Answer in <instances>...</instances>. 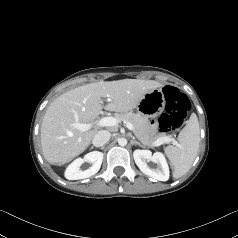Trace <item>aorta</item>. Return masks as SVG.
Masks as SVG:
<instances>
[{
    "mask_svg": "<svg viewBox=\"0 0 238 238\" xmlns=\"http://www.w3.org/2000/svg\"><path fill=\"white\" fill-rule=\"evenodd\" d=\"M118 144H119L120 146H126V145H127V139H125V138H120V139L118 140Z\"/></svg>",
    "mask_w": 238,
    "mask_h": 238,
    "instance_id": "aorta-1",
    "label": "aorta"
}]
</instances>
